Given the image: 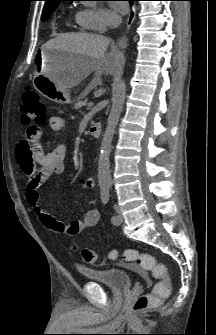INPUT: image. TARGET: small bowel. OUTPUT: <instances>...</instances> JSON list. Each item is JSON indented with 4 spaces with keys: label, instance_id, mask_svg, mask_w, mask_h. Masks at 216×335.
Segmentation results:
<instances>
[{
    "label": "small bowel",
    "instance_id": "c3829d8e",
    "mask_svg": "<svg viewBox=\"0 0 216 335\" xmlns=\"http://www.w3.org/2000/svg\"><path fill=\"white\" fill-rule=\"evenodd\" d=\"M49 124L50 128L57 132L64 130L66 126L64 118L60 116L51 117ZM40 130V124H27L25 128L27 136L17 148L18 162L26 177L25 200L46 228L60 235H77L96 226L100 219V213L98 209L90 205L83 218L65 223L42 209L38 188L51 176L64 172L68 147L66 143H60L53 148L51 144L43 147L40 139L44 137V132ZM84 186L87 189H92L95 186V178L92 176L85 178Z\"/></svg>",
    "mask_w": 216,
    "mask_h": 335
}]
</instances>
